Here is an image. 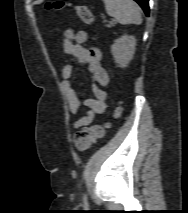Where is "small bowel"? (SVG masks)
Here are the masks:
<instances>
[{
	"label": "small bowel",
	"mask_w": 188,
	"mask_h": 213,
	"mask_svg": "<svg viewBox=\"0 0 188 213\" xmlns=\"http://www.w3.org/2000/svg\"><path fill=\"white\" fill-rule=\"evenodd\" d=\"M88 34L85 31L66 30L64 34L63 47L65 53L74 61L85 64L94 81L92 92L94 97L83 99L74 89L71 79L74 67L67 63L62 67L61 76L63 79L62 88L66 95L71 114H75L81 106H85V115L73 122L72 127L79 129L92 123L95 115L103 114L106 111V87L109 83V74L102 66V53L97 47H86Z\"/></svg>",
	"instance_id": "1"
}]
</instances>
